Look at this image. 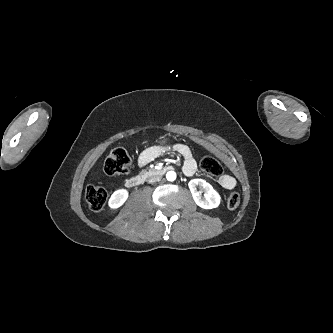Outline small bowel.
Wrapping results in <instances>:
<instances>
[{
	"instance_id": "obj_1",
	"label": "small bowel",
	"mask_w": 333,
	"mask_h": 333,
	"mask_svg": "<svg viewBox=\"0 0 333 333\" xmlns=\"http://www.w3.org/2000/svg\"><path fill=\"white\" fill-rule=\"evenodd\" d=\"M167 147L162 146H151L146 148L138 157V165L144 167L150 162L162 155ZM171 149L176 151L184 159L183 171L186 175L192 176L196 171V161L193 156V152L189 146L177 143L171 146ZM217 183L223 189L230 190L233 189L236 185V180L233 176L229 174H223L217 178Z\"/></svg>"
}]
</instances>
